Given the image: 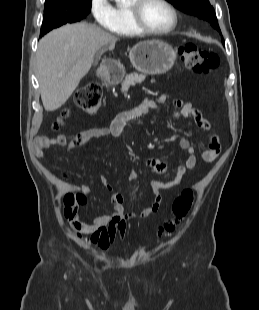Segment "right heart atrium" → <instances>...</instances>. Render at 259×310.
Returning a JSON list of instances; mask_svg holds the SVG:
<instances>
[{"instance_id": "right-heart-atrium-1", "label": "right heart atrium", "mask_w": 259, "mask_h": 310, "mask_svg": "<svg viewBox=\"0 0 259 310\" xmlns=\"http://www.w3.org/2000/svg\"><path fill=\"white\" fill-rule=\"evenodd\" d=\"M90 12L99 26L110 28L113 25L114 9L109 0H90Z\"/></svg>"}]
</instances>
